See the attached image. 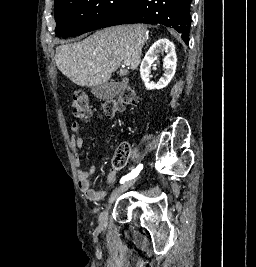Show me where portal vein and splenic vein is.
I'll return each instance as SVG.
<instances>
[{
    "label": "portal vein and splenic vein",
    "mask_w": 256,
    "mask_h": 267,
    "mask_svg": "<svg viewBox=\"0 0 256 267\" xmlns=\"http://www.w3.org/2000/svg\"><path fill=\"white\" fill-rule=\"evenodd\" d=\"M125 66H130V64H125Z\"/></svg>",
    "instance_id": "1"
}]
</instances>
